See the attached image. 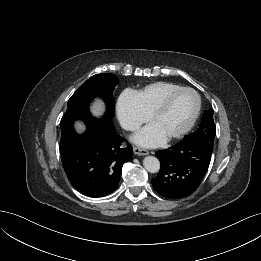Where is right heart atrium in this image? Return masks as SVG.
Listing matches in <instances>:
<instances>
[{"mask_svg": "<svg viewBox=\"0 0 261 261\" xmlns=\"http://www.w3.org/2000/svg\"><path fill=\"white\" fill-rule=\"evenodd\" d=\"M117 118L121 126L130 132L138 130L149 119L140 108L133 93H123L116 105Z\"/></svg>", "mask_w": 261, "mask_h": 261, "instance_id": "obj_1", "label": "right heart atrium"}]
</instances>
